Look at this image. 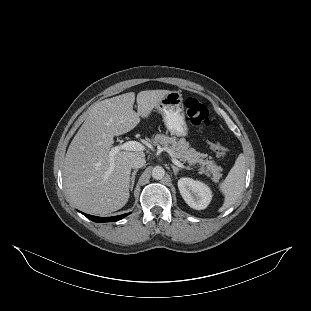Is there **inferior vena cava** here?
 <instances>
[{
  "mask_svg": "<svg viewBox=\"0 0 311 311\" xmlns=\"http://www.w3.org/2000/svg\"><path fill=\"white\" fill-rule=\"evenodd\" d=\"M146 160L144 157H136L131 161V167L133 169H139L145 166Z\"/></svg>",
  "mask_w": 311,
  "mask_h": 311,
  "instance_id": "inferior-vena-cava-1",
  "label": "inferior vena cava"
}]
</instances>
